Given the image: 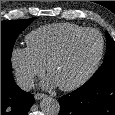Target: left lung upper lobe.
<instances>
[{
	"label": "left lung upper lobe",
	"mask_w": 115,
	"mask_h": 115,
	"mask_svg": "<svg viewBox=\"0 0 115 115\" xmlns=\"http://www.w3.org/2000/svg\"><path fill=\"white\" fill-rule=\"evenodd\" d=\"M106 36L107 51L104 62L86 83H92L108 77H115V42L112 40L108 33Z\"/></svg>",
	"instance_id": "5c2ea615"
}]
</instances>
